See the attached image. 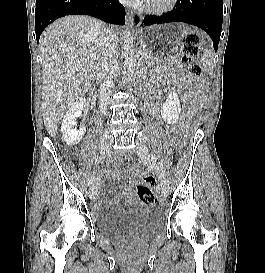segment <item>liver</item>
Returning a JSON list of instances; mask_svg holds the SVG:
<instances>
[{
	"label": "liver",
	"instance_id": "obj_1",
	"mask_svg": "<svg viewBox=\"0 0 265 273\" xmlns=\"http://www.w3.org/2000/svg\"><path fill=\"white\" fill-rule=\"evenodd\" d=\"M105 28L98 19L70 15L56 20L42 33V115L51 137L56 136L65 112L98 79ZM113 33L118 40L117 32Z\"/></svg>",
	"mask_w": 265,
	"mask_h": 273
}]
</instances>
